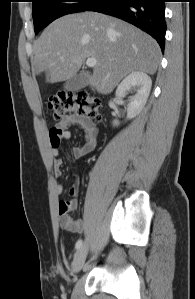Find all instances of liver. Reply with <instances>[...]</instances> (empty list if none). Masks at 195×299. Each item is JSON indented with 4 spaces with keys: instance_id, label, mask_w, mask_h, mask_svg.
<instances>
[{
    "instance_id": "6515ba94",
    "label": "liver",
    "mask_w": 195,
    "mask_h": 299,
    "mask_svg": "<svg viewBox=\"0 0 195 299\" xmlns=\"http://www.w3.org/2000/svg\"><path fill=\"white\" fill-rule=\"evenodd\" d=\"M33 75L49 83L67 81L86 58H95L87 76L93 90L106 94L134 71L154 74L160 59L155 39L120 19L97 12L69 14L53 21L33 45Z\"/></svg>"
}]
</instances>
